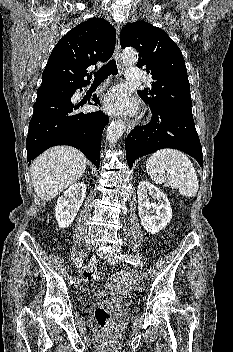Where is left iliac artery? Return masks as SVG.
<instances>
[{
    "label": "left iliac artery",
    "mask_w": 233,
    "mask_h": 352,
    "mask_svg": "<svg viewBox=\"0 0 233 352\" xmlns=\"http://www.w3.org/2000/svg\"><path fill=\"white\" fill-rule=\"evenodd\" d=\"M118 261H125L128 263H131L135 266H140L141 268L143 267V263L140 261L139 258H137L134 255H129V254H120L117 256V258L113 259V260H109L110 263H117Z\"/></svg>",
    "instance_id": "44dca946"
}]
</instances>
